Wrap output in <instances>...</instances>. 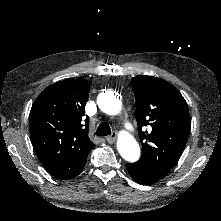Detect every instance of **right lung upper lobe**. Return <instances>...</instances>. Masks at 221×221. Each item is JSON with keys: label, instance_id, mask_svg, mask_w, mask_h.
Masks as SVG:
<instances>
[{"label": "right lung upper lobe", "instance_id": "obj_1", "mask_svg": "<svg viewBox=\"0 0 221 221\" xmlns=\"http://www.w3.org/2000/svg\"><path fill=\"white\" fill-rule=\"evenodd\" d=\"M90 84L67 79L47 87L34 102L29 119L34 149L45 169L58 179H70L84 168L94 144L88 137V120L82 116Z\"/></svg>", "mask_w": 221, "mask_h": 221}]
</instances>
